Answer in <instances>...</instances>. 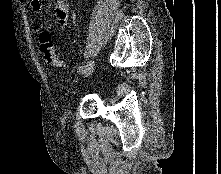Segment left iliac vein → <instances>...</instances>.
<instances>
[{
    "mask_svg": "<svg viewBox=\"0 0 221 174\" xmlns=\"http://www.w3.org/2000/svg\"><path fill=\"white\" fill-rule=\"evenodd\" d=\"M94 66H95V62L94 60H90L85 68H84V71L82 72L83 73V76L84 77H88L92 72H93V69H94Z\"/></svg>",
    "mask_w": 221,
    "mask_h": 174,
    "instance_id": "1",
    "label": "left iliac vein"
}]
</instances>
